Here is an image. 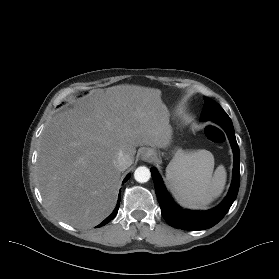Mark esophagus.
<instances>
[{
    "instance_id": "obj_1",
    "label": "esophagus",
    "mask_w": 279,
    "mask_h": 279,
    "mask_svg": "<svg viewBox=\"0 0 279 279\" xmlns=\"http://www.w3.org/2000/svg\"><path fill=\"white\" fill-rule=\"evenodd\" d=\"M153 158H154V153L151 150H145L142 154V159L147 161V162L152 161Z\"/></svg>"
}]
</instances>
